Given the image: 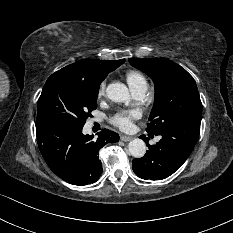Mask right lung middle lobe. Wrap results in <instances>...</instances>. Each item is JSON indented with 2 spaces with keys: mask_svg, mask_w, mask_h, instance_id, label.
I'll return each mask as SVG.
<instances>
[{
  "mask_svg": "<svg viewBox=\"0 0 233 233\" xmlns=\"http://www.w3.org/2000/svg\"><path fill=\"white\" fill-rule=\"evenodd\" d=\"M99 84H88L55 72L46 81L38 100L36 124L58 123L84 126L97 108Z\"/></svg>",
  "mask_w": 233,
  "mask_h": 233,
  "instance_id": "right-lung-middle-lobe-1",
  "label": "right lung middle lobe"
}]
</instances>
